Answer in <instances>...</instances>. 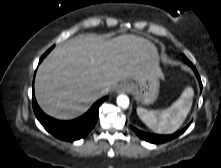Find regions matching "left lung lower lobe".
<instances>
[{
  "label": "left lung lower lobe",
  "mask_w": 221,
  "mask_h": 168,
  "mask_svg": "<svg viewBox=\"0 0 221 168\" xmlns=\"http://www.w3.org/2000/svg\"><path fill=\"white\" fill-rule=\"evenodd\" d=\"M192 69H193L194 73L196 74V76L198 78V81H199V84H200V89L202 90V83H201L199 74H198V72H197L195 67H192ZM188 126H186L182 130L177 131V132H175L174 134H171V135L151 134V133H146V132L140 131V130H138L135 127H131V128L136 133V135L139 138H141L142 140H145L147 142L154 143V144H161V143L168 142V141H170V140L180 136L182 133L185 132V130L188 128Z\"/></svg>",
  "instance_id": "obj_1"
}]
</instances>
